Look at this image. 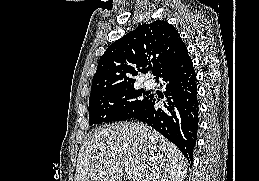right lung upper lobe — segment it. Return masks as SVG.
I'll use <instances>...</instances> for the list:
<instances>
[{"label": "right lung upper lobe", "mask_w": 259, "mask_h": 181, "mask_svg": "<svg viewBox=\"0 0 259 181\" xmlns=\"http://www.w3.org/2000/svg\"><path fill=\"white\" fill-rule=\"evenodd\" d=\"M186 52L178 31L166 21L140 25L112 43L101 56L90 98L105 91L134 86L132 77L151 64L152 73L157 76Z\"/></svg>", "instance_id": "right-lung-upper-lobe-1"}]
</instances>
